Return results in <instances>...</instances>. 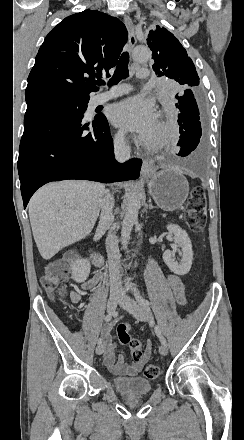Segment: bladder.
Masks as SVG:
<instances>
[{
	"label": "bladder",
	"instance_id": "31cf9c89",
	"mask_svg": "<svg viewBox=\"0 0 244 440\" xmlns=\"http://www.w3.org/2000/svg\"><path fill=\"white\" fill-rule=\"evenodd\" d=\"M112 383L115 391L126 396L148 394L152 389V383L145 377H113Z\"/></svg>",
	"mask_w": 244,
	"mask_h": 440
}]
</instances>
